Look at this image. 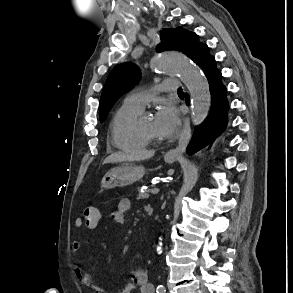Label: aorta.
Masks as SVG:
<instances>
[{
    "label": "aorta",
    "instance_id": "aorta-1",
    "mask_svg": "<svg viewBox=\"0 0 293 293\" xmlns=\"http://www.w3.org/2000/svg\"><path fill=\"white\" fill-rule=\"evenodd\" d=\"M151 65L158 72L179 75L190 92L193 125L202 123L209 111L210 91L200 69L186 56L171 51L155 55ZM157 250L161 253L160 246Z\"/></svg>",
    "mask_w": 293,
    "mask_h": 293
}]
</instances>
